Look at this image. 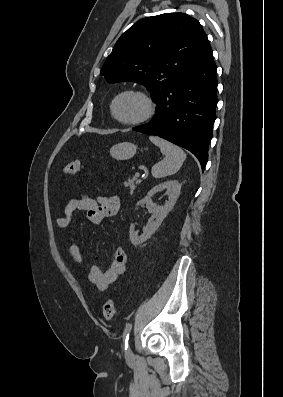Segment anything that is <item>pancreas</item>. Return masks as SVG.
<instances>
[{
	"instance_id": "cf45deb5",
	"label": "pancreas",
	"mask_w": 283,
	"mask_h": 397,
	"mask_svg": "<svg viewBox=\"0 0 283 397\" xmlns=\"http://www.w3.org/2000/svg\"><path fill=\"white\" fill-rule=\"evenodd\" d=\"M139 184H140V180H138L135 177L131 179L129 178L127 181L124 182V186L128 187L131 192H133L136 189L137 185Z\"/></svg>"
}]
</instances>
